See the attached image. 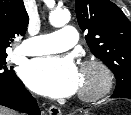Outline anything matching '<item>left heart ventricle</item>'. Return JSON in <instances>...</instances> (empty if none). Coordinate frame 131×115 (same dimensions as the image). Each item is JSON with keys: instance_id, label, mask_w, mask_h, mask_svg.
Segmentation results:
<instances>
[{"instance_id": "b2bd125f", "label": "left heart ventricle", "mask_w": 131, "mask_h": 115, "mask_svg": "<svg viewBox=\"0 0 131 115\" xmlns=\"http://www.w3.org/2000/svg\"><path fill=\"white\" fill-rule=\"evenodd\" d=\"M100 74L95 69H88L80 75L79 90H91L98 86L100 83Z\"/></svg>"}]
</instances>
